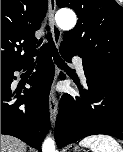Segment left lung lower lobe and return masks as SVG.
<instances>
[{"label": "left lung lower lobe", "mask_w": 123, "mask_h": 152, "mask_svg": "<svg viewBox=\"0 0 123 152\" xmlns=\"http://www.w3.org/2000/svg\"><path fill=\"white\" fill-rule=\"evenodd\" d=\"M60 53L67 62L76 55L62 45ZM83 68L87 89L79 87L80 97L65 93L61 98L55 126L59 148L96 134L123 140V73L98 69L87 61Z\"/></svg>", "instance_id": "0a47b994"}]
</instances>
